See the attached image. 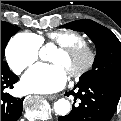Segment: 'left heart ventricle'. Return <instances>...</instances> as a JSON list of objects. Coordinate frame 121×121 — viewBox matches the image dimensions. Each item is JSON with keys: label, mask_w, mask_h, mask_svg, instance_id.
<instances>
[{"label": "left heart ventricle", "mask_w": 121, "mask_h": 121, "mask_svg": "<svg viewBox=\"0 0 121 121\" xmlns=\"http://www.w3.org/2000/svg\"><path fill=\"white\" fill-rule=\"evenodd\" d=\"M50 61L60 66L67 74L76 66L75 60L68 58L58 50L52 54Z\"/></svg>", "instance_id": "obj_1"}]
</instances>
